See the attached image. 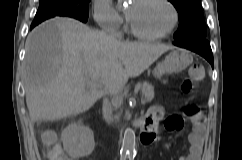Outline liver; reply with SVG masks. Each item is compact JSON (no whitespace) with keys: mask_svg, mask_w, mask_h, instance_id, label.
Listing matches in <instances>:
<instances>
[{"mask_svg":"<svg viewBox=\"0 0 242 160\" xmlns=\"http://www.w3.org/2000/svg\"><path fill=\"white\" fill-rule=\"evenodd\" d=\"M25 49L26 104L31 120L42 121L89 110L101 91L87 88V79L117 93L174 46L122 42L77 20L58 17L34 28Z\"/></svg>","mask_w":242,"mask_h":160,"instance_id":"6515ba94","label":"liver"}]
</instances>
